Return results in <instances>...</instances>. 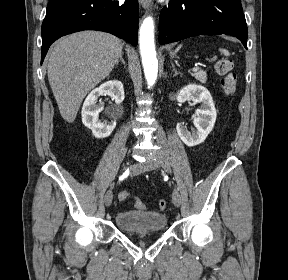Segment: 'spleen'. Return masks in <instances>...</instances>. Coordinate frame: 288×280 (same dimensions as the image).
<instances>
[{
  "label": "spleen",
  "mask_w": 288,
  "mask_h": 280,
  "mask_svg": "<svg viewBox=\"0 0 288 280\" xmlns=\"http://www.w3.org/2000/svg\"><path fill=\"white\" fill-rule=\"evenodd\" d=\"M181 48V45L176 49L177 51ZM220 52L225 56H229V51L226 49H220Z\"/></svg>",
  "instance_id": "1"
}]
</instances>
